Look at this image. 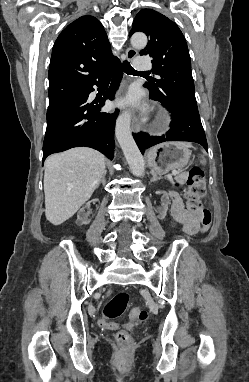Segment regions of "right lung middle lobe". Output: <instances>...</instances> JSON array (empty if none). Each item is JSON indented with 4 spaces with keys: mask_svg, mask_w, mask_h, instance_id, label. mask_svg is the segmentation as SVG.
<instances>
[{
    "mask_svg": "<svg viewBox=\"0 0 249 382\" xmlns=\"http://www.w3.org/2000/svg\"><path fill=\"white\" fill-rule=\"evenodd\" d=\"M77 94H78V93H77ZM77 94H75V95H73V96H71V97H68V98H66V99H64V100H61V101H58V102H54V103H50L47 112L52 111V110H55V109H57L58 107H60L61 105L65 104L66 102H68V101H70V100H73L74 98L77 97Z\"/></svg>",
    "mask_w": 249,
    "mask_h": 382,
    "instance_id": "obj_1",
    "label": "right lung middle lobe"
}]
</instances>
